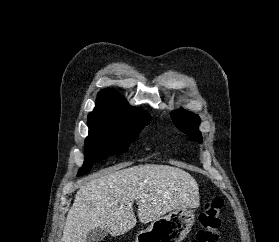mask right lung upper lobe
<instances>
[{
  "instance_id": "1",
  "label": "right lung upper lobe",
  "mask_w": 279,
  "mask_h": 242,
  "mask_svg": "<svg viewBox=\"0 0 279 242\" xmlns=\"http://www.w3.org/2000/svg\"><path fill=\"white\" fill-rule=\"evenodd\" d=\"M149 119L150 116L145 111L131 107L112 89H105L97 94L96 107L88 115V121L101 120L119 125L141 124Z\"/></svg>"
}]
</instances>
